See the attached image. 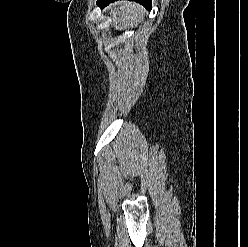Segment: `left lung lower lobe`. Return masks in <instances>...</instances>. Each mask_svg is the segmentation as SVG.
Listing matches in <instances>:
<instances>
[{
  "instance_id": "1",
  "label": "left lung lower lobe",
  "mask_w": 248,
  "mask_h": 247,
  "mask_svg": "<svg viewBox=\"0 0 248 247\" xmlns=\"http://www.w3.org/2000/svg\"><path fill=\"white\" fill-rule=\"evenodd\" d=\"M117 1V0H97V5L100 6L101 8L106 7L108 4ZM131 1V0H130ZM136 1L143 6H145L147 9H151V0H132Z\"/></svg>"
}]
</instances>
